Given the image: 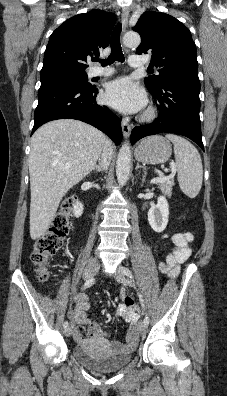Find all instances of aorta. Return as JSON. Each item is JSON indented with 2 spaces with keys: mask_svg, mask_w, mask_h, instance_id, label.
I'll return each instance as SVG.
<instances>
[{
  "mask_svg": "<svg viewBox=\"0 0 227 396\" xmlns=\"http://www.w3.org/2000/svg\"><path fill=\"white\" fill-rule=\"evenodd\" d=\"M127 47H138L141 38L136 32H128L123 37ZM131 169V150L128 142H125L119 150L116 161V176L119 184L124 185L128 179Z\"/></svg>",
  "mask_w": 227,
  "mask_h": 396,
  "instance_id": "aorta-1",
  "label": "aorta"
}]
</instances>
